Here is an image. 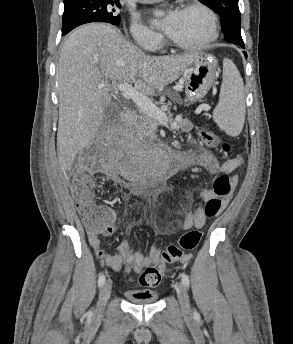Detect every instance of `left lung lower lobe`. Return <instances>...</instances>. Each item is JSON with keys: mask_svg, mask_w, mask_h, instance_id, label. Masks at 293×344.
I'll list each match as a JSON object with an SVG mask.
<instances>
[{"mask_svg": "<svg viewBox=\"0 0 293 344\" xmlns=\"http://www.w3.org/2000/svg\"><path fill=\"white\" fill-rule=\"evenodd\" d=\"M241 47H242V48H245L244 45H242ZM244 54H245V56H247L245 52H244Z\"/></svg>", "mask_w": 293, "mask_h": 344, "instance_id": "left-lung-lower-lobe-1", "label": "left lung lower lobe"}]
</instances>
